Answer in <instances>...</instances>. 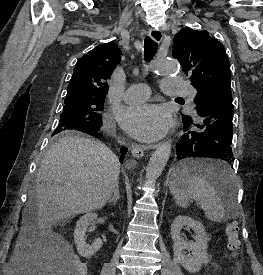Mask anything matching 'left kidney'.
Listing matches in <instances>:
<instances>
[{"instance_id":"5707ae66","label":"left kidney","mask_w":263,"mask_h":275,"mask_svg":"<svg viewBox=\"0 0 263 275\" xmlns=\"http://www.w3.org/2000/svg\"><path fill=\"white\" fill-rule=\"evenodd\" d=\"M183 226L191 228L195 235V242L184 240L181 229ZM171 237L173 239V261L183 266L190 273L198 272L203 264L209 262L207 254L208 237L204 226L189 216H177L171 226ZM191 251V255H185L184 250Z\"/></svg>"}]
</instances>
